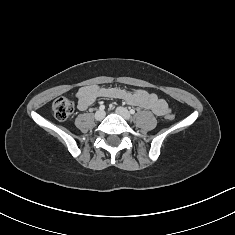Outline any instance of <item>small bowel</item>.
<instances>
[{
    "label": "small bowel",
    "mask_w": 235,
    "mask_h": 235,
    "mask_svg": "<svg viewBox=\"0 0 235 235\" xmlns=\"http://www.w3.org/2000/svg\"><path fill=\"white\" fill-rule=\"evenodd\" d=\"M76 98L79 110H86L97 99L111 98L121 99L128 104L151 110L158 116H163L170 111L169 106L164 99L141 88L129 92L117 87L88 85L79 88L76 93Z\"/></svg>",
    "instance_id": "c3829d8e"
}]
</instances>
